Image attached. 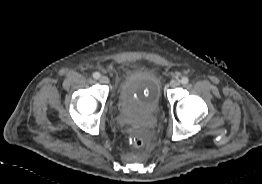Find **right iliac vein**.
<instances>
[{
  "instance_id": "obj_1",
  "label": "right iliac vein",
  "mask_w": 262,
  "mask_h": 184,
  "mask_svg": "<svg viewBox=\"0 0 262 184\" xmlns=\"http://www.w3.org/2000/svg\"><path fill=\"white\" fill-rule=\"evenodd\" d=\"M99 81H100V83H102V84H108V83H109V78H108L107 76H101V77L99 78Z\"/></svg>"
}]
</instances>
